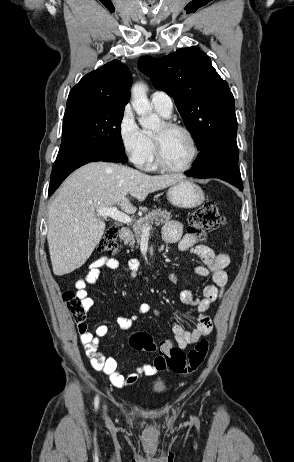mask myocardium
Masks as SVG:
<instances>
[{
  "label": "myocardium",
  "mask_w": 294,
  "mask_h": 462,
  "mask_svg": "<svg viewBox=\"0 0 294 462\" xmlns=\"http://www.w3.org/2000/svg\"><path fill=\"white\" fill-rule=\"evenodd\" d=\"M162 125L166 131H183L189 137L192 143L193 152L189 162L185 166L172 167L169 164H167L164 159L162 136L158 134H153L154 157L156 166L159 169L169 173H182L190 170L194 166L200 154V147L195 134L192 132L190 128L180 123L165 121Z\"/></svg>",
  "instance_id": "myocardium-1"
}]
</instances>
